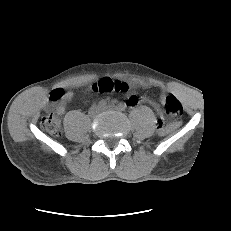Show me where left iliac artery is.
Masks as SVG:
<instances>
[{"mask_svg": "<svg viewBox=\"0 0 231 231\" xmlns=\"http://www.w3.org/2000/svg\"><path fill=\"white\" fill-rule=\"evenodd\" d=\"M117 108H118L119 110H121V111H124V110L126 109V105L123 104V103H119V104L117 105Z\"/></svg>", "mask_w": 231, "mask_h": 231, "instance_id": "obj_1", "label": "left iliac artery"}]
</instances>
